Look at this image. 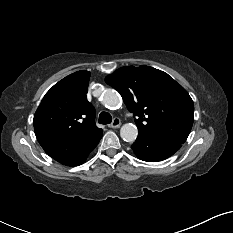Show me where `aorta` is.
<instances>
[{"mask_svg": "<svg viewBox=\"0 0 233 233\" xmlns=\"http://www.w3.org/2000/svg\"><path fill=\"white\" fill-rule=\"evenodd\" d=\"M102 103L110 109L117 108L120 105L121 99L118 92L113 89H106L102 95ZM138 135L136 125L132 123L124 124L120 129V136L126 142H134Z\"/></svg>", "mask_w": 233, "mask_h": 233, "instance_id": "aorta-1", "label": "aorta"}]
</instances>
